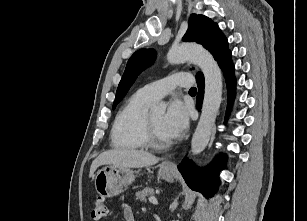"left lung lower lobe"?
Masks as SVG:
<instances>
[{
	"mask_svg": "<svg viewBox=\"0 0 307 221\" xmlns=\"http://www.w3.org/2000/svg\"><path fill=\"white\" fill-rule=\"evenodd\" d=\"M220 68L226 79L227 90H228V108L229 112L232 102L235 96V77H234V66L231 60V53L226 55L219 63ZM198 84V95L196 101V107L198 110L201 109L203 90H204V77L197 78ZM225 156H222L219 160V164L208 166L204 170H199L194 164L185 158L179 165L178 169L184 177L186 183L190 188L196 191H200L204 196L212 197L218 187V172L216 168L222 165L225 161Z\"/></svg>",
	"mask_w": 307,
	"mask_h": 221,
	"instance_id": "0a47b994",
	"label": "left lung lower lobe"
}]
</instances>
